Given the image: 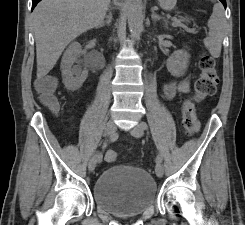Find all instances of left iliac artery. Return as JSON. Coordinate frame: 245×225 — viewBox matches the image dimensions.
I'll use <instances>...</instances> for the list:
<instances>
[{
  "label": "left iliac artery",
  "instance_id": "44dca946",
  "mask_svg": "<svg viewBox=\"0 0 245 225\" xmlns=\"http://www.w3.org/2000/svg\"><path fill=\"white\" fill-rule=\"evenodd\" d=\"M141 126L143 127L144 130H146V129L148 128V125H147L146 122H142V123H141ZM155 161H156L157 164L161 163V162H162V157L158 154V155L156 156Z\"/></svg>",
  "mask_w": 245,
  "mask_h": 225
}]
</instances>
